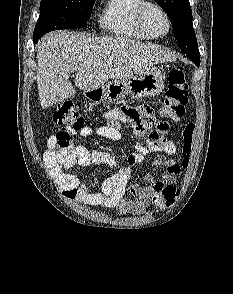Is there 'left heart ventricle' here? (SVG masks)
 <instances>
[{
    "label": "left heart ventricle",
    "instance_id": "1",
    "mask_svg": "<svg viewBox=\"0 0 233 294\" xmlns=\"http://www.w3.org/2000/svg\"><path fill=\"white\" fill-rule=\"evenodd\" d=\"M146 22L149 28L156 34H161L166 31L167 24L165 18L155 9H150L147 12Z\"/></svg>",
    "mask_w": 233,
    "mask_h": 294
}]
</instances>
